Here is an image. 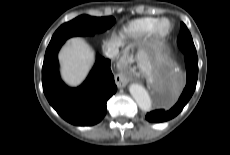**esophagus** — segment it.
I'll use <instances>...</instances> for the list:
<instances>
[{
    "instance_id": "obj_1",
    "label": "esophagus",
    "mask_w": 230,
    "mask_h": 155,
    "mask_svg": "<svg viewBox=\"0 0 230 155\" xmlns=\"http://www.w3.org/2000/svg\"><path fill=\"white\" fill-rule=\"evenodd\" d=\"M128 81H129V78L124 73H120L115 76V82L118 88L125 87Z\"/></svg>"
}]
</instances>
